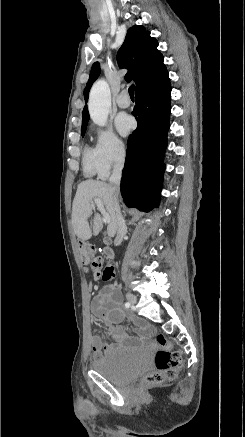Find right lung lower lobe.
<instances>
[{"mask_svg":"<svg viewBox=\"0 0 245 437\" xmlns=\"http://www.w3.org/2000/svg\"><path fill=\"white\" fill-rule=\"evenodd\" d=\"M170 82L136 92L132 114L138 126L129 136L121 178V194L128 207L150 212L159 206L162 164L167 146Z\"/></svg>","mask_w":245,"mask_h":437,"instance_id":"1","label":"right lung lower lobe"}]
</instances>
